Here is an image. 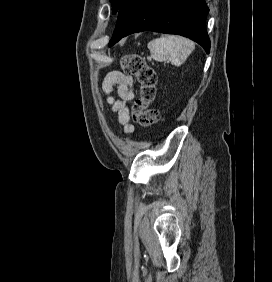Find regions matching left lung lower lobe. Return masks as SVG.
Here are the masks:
<instances>
[{"mask_svg":"<svg viewBox=\"0 0 272 282\" xmlns=\"http://www.w3.org/2000/svg\"><path fill=\"white\" fill-rule=\"evenodd\" d=\"M208 12L204 0H125L109 46L135 32L155 31L188 37L209 53L205 29Z\"/></svg>","mask_w":272,"mask_h":282,"instance_id":"0a47b994","label":"left lung lower lobe"}]
</instances>
